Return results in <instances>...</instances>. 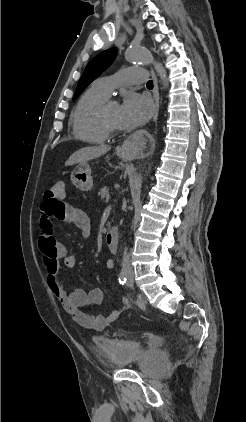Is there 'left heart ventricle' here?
Masks as SVG:
<instances>
[{
  "mask_svg": "<svg viewBox=\"0 0 246 422\" xmlns=\"http://www.w3.org/2000/svg\"><path fill=\"white\" fill-rule=\"evenodd\" d=\"M119 108L120 106L116 103L110 104L106 110V117L110 124L115 127H120L119 125Z\"/></svg>",
  "mask_w": 246,
  "mask_h": 422,
  "instance_id": "b2bd125f",
  "label": "left heart ventricle"
}]
</instances>
